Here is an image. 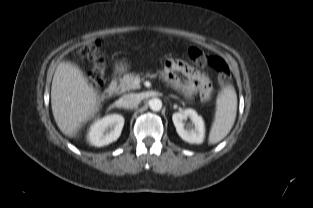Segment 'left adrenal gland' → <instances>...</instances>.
<instances>
[{"label": "left adrenal gland", "mask_w": 313, "mask_h": 208, "mask_svg": "<svg viewBox=\"0 0 313 208\" xmlns=\"http://www.w3.org/2000/svg\"><path fill=\"white\" fill-rule=\"evenodd\" d=\"M170 97L179 100V98L175 95H170Z\"/></svg>", "instance_id": "left-adrenal-gland-1"}]
</instances>
